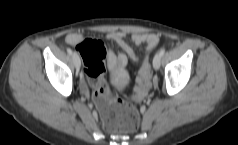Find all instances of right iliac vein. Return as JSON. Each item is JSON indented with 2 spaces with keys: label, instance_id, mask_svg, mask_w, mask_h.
<instances>
[{
  "label": "right iliac vein",
  "instance_id": "63e3f726",
  "mask_svg": "<svg viewBox=\"0 0 238 145\" xmlns=\"http://www.w3.org/2000/svg\"><path fill=\"white\" fill-rule=\"evenodd\" d=\"M73 61L76 69H80L81 66V59L77 52L73 53Z\"/></svg>",
  "mask_w": 238,
  "mask_h": 145
}]
</instances>
